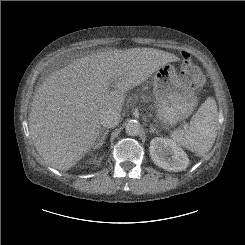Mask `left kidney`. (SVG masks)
<instances>
[{
	"mask_svg": "<svg viewBox=\"0 0 245 245\" xmlns=\"http://www.w3.org/2000/svg\"><path fill=\"white\" fill-rule=\"evenodd\" d=\"M149 150L154 163L167 171H182L189 164L187 154L168 138L155 137L150 142Z\"/></svg>",
	"mask_w": 245,
	"mask_h": 245,
	"instance_id": "5707ae66",
	"label": "left kidney"
}]
</instances>
